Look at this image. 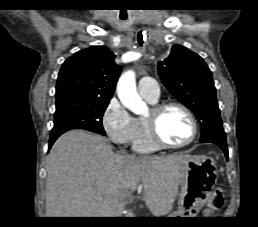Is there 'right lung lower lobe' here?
Segmentation results:
<instances>
[{
  "instance_id": "98d812e1",
  "label": "right lung lower lobe",
  "mask_w": 258,
  "mask_h": 227,
  "mask_svg": "<svg viewBox=\"0 0 258 227\" xmlns=\"http://www.w3.org/2000/svg\"><path fill=\"white\" fill-rule=\"evenodd\" d=\"M71 130V128L69 127H65V126H54L52 131H51V136H50V140H49V148H51V146L53 145V143L55 142V140L64 132Z\"/></svg>"
}]
</instances>
